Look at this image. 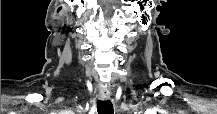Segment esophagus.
Returning a JSON list of instances; mask_svg holds the SVG:
<instances>
[{"label": "esophagus", "mask_w": 217, "mask_h": 114, "mask_svg": "<svg viewBox=\"0 0 217 114\" xmlns=\"http://www.w3.org/2000/svg\"><path fill=\"white\" fill-rule=\"evenodd\" d=\"M102 100H108L110 98L109 95H103L100 97Z\"/></svg>", "instance_id": "1"}]
</instances>
